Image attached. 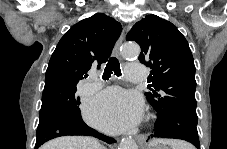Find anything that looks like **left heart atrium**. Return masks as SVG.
I'll list each match as a JSON object with an SVG mask.
<instances>
[{"mask_svg": "<svg viewBox=\"0 0 227 149\" xmlns=\"http://www.w3.org/2000/svg\"><path fill=\"white\" fill-rule=\"evenodd\" d=\"M141 115V98L119 87L100 92L85 109L87 121L109 133L132 128L139 122Z\"/></svg>", "mask_w": 227, "mask_h": 149, "instance_id": "39dd6f15", "label": "left heart atrium"}]
</instances>
